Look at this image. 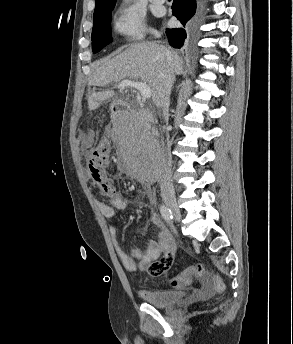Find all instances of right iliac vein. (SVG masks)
I'll return each instance as SVG.
<instances>
[{"instance_id":"right-iliac-vein-1","label":"right iliac vein","mask_w":293,"mask_h":344,"mask_svg":"<svg viewBox=\"0 0 293 344\" xmlns=\"http://www.w3.org/2000/svg\"><path fill=\"white\" fill-rule=\"evenodd\" d=\"M166 206L172 211L174 214L176 220L180 221L181 220V211L174 200H167L165 201Z\"/></svg>"}]
</instances>
